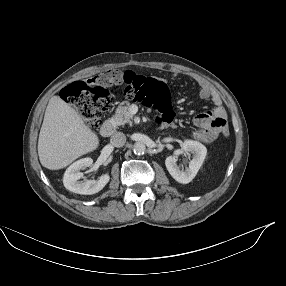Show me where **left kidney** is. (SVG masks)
Masks as SVG:
<instances>
[{
	"label": "left kidney",
	"mask_w": 286,
	"mask_h": 286,
	"mask_svg": "<svg viewBox=\"0 0 286 286\" xmlns=\"http://www.w3.org/2000/svg\"><path fill=\"white\" fill-rule=\"evenodd\" d=\"M192 153L193 159L189 163V167L181 170L177 165L178 156L183 153ZM207 154L206 147L200 142L193 140H185L182 148L174 151L173 155L165 160V165L170 175L179 183L187 184L191 182L202 166Z\"/></svg>",
	"instance_id": "obj_1"
}]
</instances>
